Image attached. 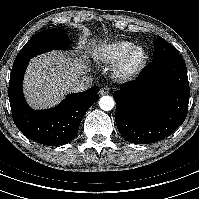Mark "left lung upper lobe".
I'll return each instance as SVG.
<instances>
[{"mask_svg": "<svg viewBox=\"0 0 199 199\" xmlns=\"http://www.w3.org/2000/svg\"><path fill=\"white\" fill-rule=\"evenodd\" d=\"M170 54H179V51L173 45L165 41L162 37L158 36L155 42L153 59Z\"/></svg>", "mask_w": 199, "mask_h": 199, "instance_id": "1", "label": "left lung upper lobe"}]
</instances>
